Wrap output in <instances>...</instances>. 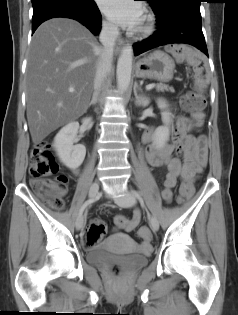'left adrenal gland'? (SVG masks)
Wrapping results in <instances>:
<instances>
[{"label":"left adrenal gland","instance_id":"a2214340","mask_svg":"<svg viewBox=\"0 0 238 315\" xmlns=\"http://www.w3.org/2000/svg\"><path fill=\"white\" fill-rule=\"evenodd\" d=\"M138 87H139L138 82H135V84H134V95L136 96V98H137V88ZM139 89H141V87H139Z\"/></svg>","mask_w":238,"mask_h":315}]
</instances>
